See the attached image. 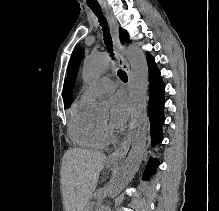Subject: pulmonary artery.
Masks as SVG:
<instances>
[{"instance_id": "e3ab8cb5", "label": "pulmonary artery", "mask_w": 219, "mask_h": 211, "mask_svg": "<svg viewBox=\"0 0 219 211\" xmlns=\"http://www.w3.org/2000/svg\"><path fill=\"white\" fill-rule=\"evenodd\" d=\"M114 90L115 83L111 79V77L103 76L99 78L92 87L83 90L81 94V99L85 101H90L100 94L110 93Z\"/></svg>"}]
</instances>
